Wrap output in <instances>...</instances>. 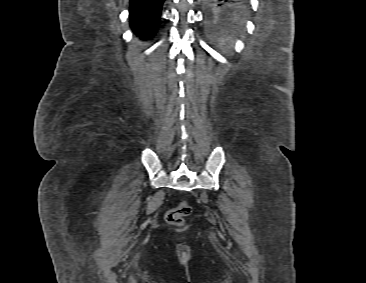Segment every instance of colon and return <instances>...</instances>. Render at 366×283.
I'll use <instances>...</instances> for the list:
<instances>
[{"label":"colon","instance_id":"obj_1","mask_svg":"<svg viewBox=\"0 0 366 283\" xmlns=\"http://www.w3.org/2000/svg\"><path fill=\"white\" fill-rule=\"evenodd\" d=\"M192 213L190 204L183 200L176 207L167 212L166 220L174 226H181L185 222V218Z\"/></svg>","mask_w":366,"mask_h":283}]
</instances>
